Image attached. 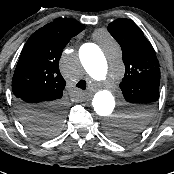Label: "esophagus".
<instances>
[{"mask_svg":"<svg viewBox=\"0 0 174 174\" xmlns=\"http://www.w3.org/2000/svg\"><path fill=\"white\" fill-rule=\"evenodd\" d=\"M90 97H91V94H88V95H87V97H86V98H87V100H88Z\"/></svg>","mask_w":174,"mask_h":174,"instance_id":"34e87169","label":"esophagus"}]
</instances>
